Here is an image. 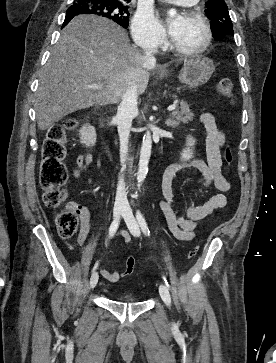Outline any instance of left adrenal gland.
<instances>
[{"label": "left adrenal gland", "instance_id": "a2214340", "mask_svg": "<svg viewBox=\"0 0 276 363\" xmlns=\"http://www.w3.org/2000/svg\"><path fill=\"white\" fill-rule=\"evenodd\" d=\"M165 124L168 126V127H172V128H175L177 126V122L174 121L173 119H167Z\"/></svg>", "mask_w": 276, "mask_h": 363}]
</instances>
